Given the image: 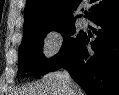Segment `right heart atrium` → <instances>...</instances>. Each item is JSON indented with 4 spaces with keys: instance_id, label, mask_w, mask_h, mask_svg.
Here are the masks:
<instances>
[{
    "instance_id": "d8ad5b80",
    "label": "right heart atrium",
    "mask_w": 119,
    "mask_h": 95,
    "mask_svg": "<svg viewBox=\"0 0 119 95\" xmlns=\"http://www.w3.org/2000/svg\"><path fill=\"white\" fill-rule=\"evenodd\" d=\"M63 35L59 30L49 31L43 39L42 53L46 58L54 57L61 49Z\"/></svg>"
}]
</instances>
